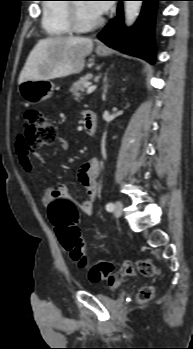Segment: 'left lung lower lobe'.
<instances>
[{"label": "left lung lower lobe", "mask_w": 193, "mask_h": 349, "mask_svg": "<svg viewBox=\"0 0 193 349\" xmlns=\"http://www.w3.org/2000/svg\"><path fill=\"white\" fill-rule=\"evenodd\" d=\"M141 1H143L142 12L138 21L132 28H125L123 24L122 5L119 4L116 18L100 32L99 39L111 48L154 63V20L156 3L162 0Z\"/></svg>", "instance_id": "1"}]
</instances>
